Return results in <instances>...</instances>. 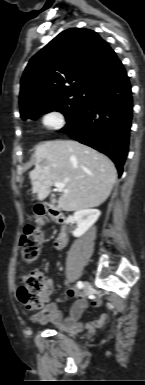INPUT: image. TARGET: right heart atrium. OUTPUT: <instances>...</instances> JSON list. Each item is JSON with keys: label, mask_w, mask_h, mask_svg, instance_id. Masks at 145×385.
<instances>
[{"label": "right heart atrium", "mask_w": 145, "mask_h": 385, "mask_svg": "<svg viewBox=\"0 0 145 385\" xmlns=\"http://www.w3.org/2000/svg\"><path fill=\"white\" fill-rule=\"evenodd\" d=\"M41 124L50 131L58 130L64 125V115L60 110H50L41 117Z\"/></svg>", "instance_id": "right-heart-atrium-1"}]
</instances>
